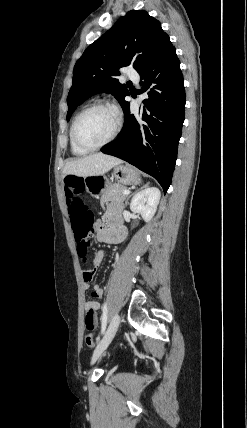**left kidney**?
<instances>
[{
  "label": "left kidney",
  "mask_w": 247,
  "mask_h": 428,
  "mask_svg": "<svg viewBox=\"0 0 247 428\" xmlns=\"http://www.w3.org/2000/svg\"><path fill=\"white\" fill-rule=\"evenodd\" d=\"M160 197L161 193L157 187H147L133 196L130 209L140 214L145 222H149L157 210Z\"/></svg>",
  "instance_id": "5707ae66"
}]
</instances>
